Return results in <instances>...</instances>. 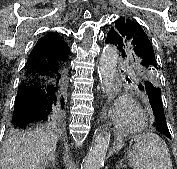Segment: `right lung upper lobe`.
<instances>
[{"mask_svg": "<svg viewBox=\"0 0 177 169\" xmlns=\"http://www.w3.org/2000/svg\"><path fill=\"white\" fill-rule=\"evenodd\" d=\"M69 51V46L60 38L58 33L54 32H49L41 37L32 50L35 54L58 61L67 60Z\"/></svg>", "mask_w": 177, "mask_h": 169, "instance_id": "cb5924a9", "label": "right lung upper lobe"}]
</instances>
